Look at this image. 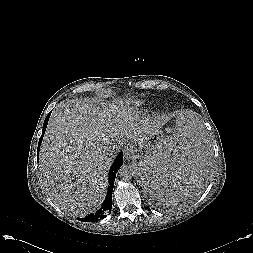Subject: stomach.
Here are the masks:
<instances>
[{
    "instance_id": "0dacf381",
    "label": "stomach",
    "mask_w": 253,
    "mask_h": 253,
    "mask_svg": "<svg viewBox=\"0 0 253 253\" xmlns=\"http://www.w3.org/2000/svg\"><path fill=\"white\" fill-rule=\"evenodd\" d=\"M165 137L163 136V134L158 131L156 133H152L148 139L145 141V143L143 145H150L151 142H154V145H152L151 151L147 152L145 155L143 156H139V162L137 164V170H138V181H139V174L141 171V168L143 167V165L148 162L149 160L153 159V156L155 155L156 151L158 150L160 143L162 142V140ZM140 147H142V145H140ZM140 183V181H139ZM201 188V186L199 187V189ZM198 189V190H199ZM197 190V191H198ZM194 194V193H193Z\"/></svg>"
}]
</instances>
